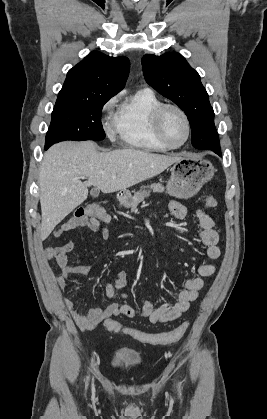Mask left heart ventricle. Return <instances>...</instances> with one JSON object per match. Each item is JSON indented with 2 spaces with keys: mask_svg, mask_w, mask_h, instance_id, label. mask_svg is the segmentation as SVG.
<instances>
[{
  "mask_svg": "<svg viewBox=\"0 0 267 419\" xmlns=\"http://www.w3.org/2000/svg\"><path fill=\"white\" fill-rule=\"evenodd\" d=\"M163 131L166 138L174 145L182 143L186 137V126L181 115L173 110L166 111L163 118Z\"/></svg>",
  "mask_w": 267,
  "mask_h": 419,
  "instance_id": "left-heart-ventricle-1",
  "label": "left heart ventricle"
}]
</instances>
